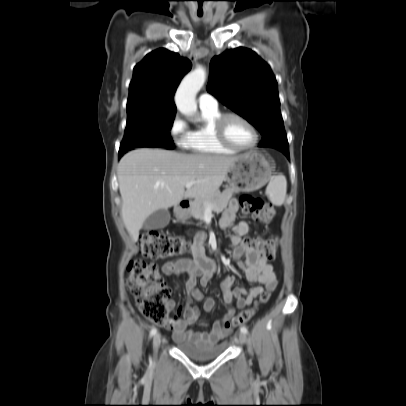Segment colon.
<instances>
[{
	"instance_id": "1",
	"label": "colon",
	"mask_w": 406,
	"mask_h": 406,
	"mask_svg": "<svg viewBox=\"0 0 406 406\" xmlns=\"http://www.w3.org/2000/svg\"><path fill=\"white\" fill-rule=\"evenodd\" d=\"M239 202L243 213L255 221L269 223L276 216L275 209L266 204L260 197L244 195ZM243 242L246 246L255 247L260 255L267 260L274 257L277 246L275 238H246ZM139 247L142 256L151 260L178 256L188 249L184 239L160 231L144 232L140 237ZM125 284L135 297L139 310L145 318L161 326L169 323L168 297L170 289L154 263L142 260L132 261L128 266ZM270 295L269 290L263 291L254 307L242 310L225 323V328L231 329L247 323L257 309L269 301Z\"/></svg>"
}]
</instances>
